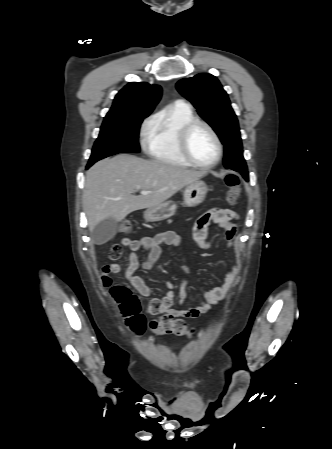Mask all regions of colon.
<instances>
[{
    "instance_id": "1",
    "label": "colon",
    "mask_w": 332,
    "mask_h": 449,
    "mask_svg": "<svg viewBox=\"0 0 332 449\" xmlns=\"http://www.w3.org/2000/svg\"><path fill=\"white\" fill-rule=\"evenodd\" d=\"M225 185L228 188L225 199L229 205H235L240 197V181L237 175L228 173L224 179ZM133 225L129 220H125L120 224L119 231L129 234L132 231ZM124 244H114L109 251V258L111 260H118L123 253ZM111 293L116 302L120 305L123 314L127 317L128 324L136 333H141L146 322L144 316L140 311V304L137 297L123 285L113 286ZM152 331L160 336L176 335V336H190L193 330L189 328L182 319L175 318L171 315H163L158 319L152 320L149 323Z\"/></svg>"
}]
</instances>
